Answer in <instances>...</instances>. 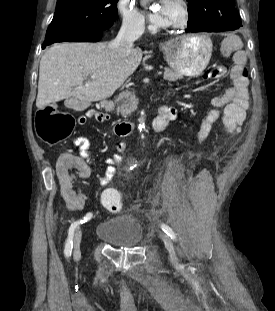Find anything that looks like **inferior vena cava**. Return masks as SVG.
Listing matches in <instances>:
<instances>
[{
    "mask_svg": "<svg viewBox=\"0 0 275 311\" xmlns=\"http://www.w3.org/2000/svg\"><path fill=\"white\" fill-rule=\"evenodd\" d=\"M144 22L140 20L125 21L111 47L119 54H127L131 51L133 43L144 32Z\"/></svg>",
    "mask_w": 275,
    "mask_h": 311,
    "instance_id": "602c4592",
    "label": "inferior vena cava"
}]
</instances>
